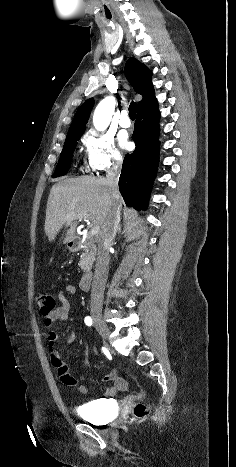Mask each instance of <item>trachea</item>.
<instances>
[{
	"instance_id": "3493384b",
	"label": "trachea",
	"mask_w": 236,
	"mask_h": 467,
	"mask_svg": "<svg viewBox=\"0 0 236 467\" xmlns=\"http://www.w3.org/2000/svg\"><path fill=\"white\" fill-rule=\"evenodd\" d=\"M136 112H137V103L136 102H131L129 106V116L131 119L136 118Z\"/></svg>"
}]
</instances>
